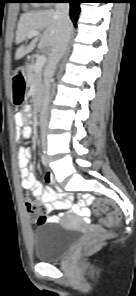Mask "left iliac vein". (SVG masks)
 Returning <instances> with one entry per match:
<instances>
[{"mask_svg":"<svg viewBox=\"0 0 136 296\" xmlns=\"http://www.w3.org/2000/svg\"><path fill=\"white\" fill-rule=\"evenodd\" d=\"M46 161H47V163H48V158H46Z\"/></svg>","mask_w":136,"mask_h":296,"instance_id":"obj_1","label":"left iliac vein"}]
</instances>
